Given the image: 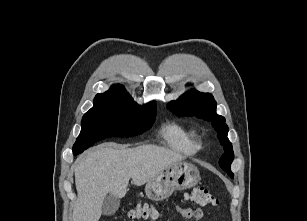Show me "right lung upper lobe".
Here are the masks:
<instances>
[{
	"mask_svg": "<svg viewBox=\"0 0 307 221\" xmlns=\"http://www.w3.org/2000/svg\"><path fill=\"white\" fill-rule=\"evenodd\" d=\"M107 101L135 103L132 97L125 91L122 85H115L110 90L104 93L97 94L94 98V103L107 102ZM153 102H150V103H153Z\"/></svg>",
	"mask_w": 307,
	"mask_h": 221,
	"instance_id": "obj_1",
	"label": "right lung upper lobe"
}]
</instances>
